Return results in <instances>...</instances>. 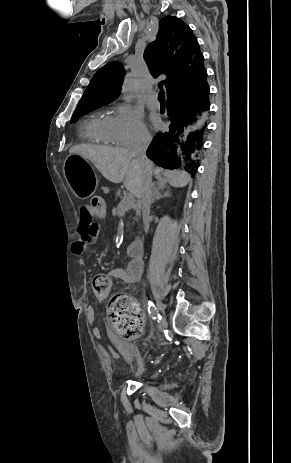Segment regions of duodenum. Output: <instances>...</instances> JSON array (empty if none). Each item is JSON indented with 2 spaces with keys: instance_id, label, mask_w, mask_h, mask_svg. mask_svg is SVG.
Returning a JSON list of instances; mask_svg holds the SVG:
<instances>
[{
  "instance_id": "410a0bca",
  "label": "duodenum",
  "mask_w": 291,
  "mask_h": 463,
  "mask_svg": "<svg viewBox=\"0 0 291 463\" xmlns=\"http://www.w3.org/2000/svg\"><path fill=\"white\" fill-rule=\"evenodd\" d=\"M128 253L133 258H140L143 254V239L135 237L128 246Z\"/></svg>"
}]
</instances>
